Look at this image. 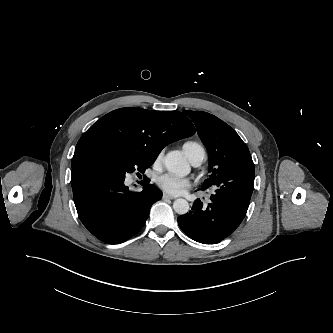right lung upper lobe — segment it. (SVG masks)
I'll return each instance as SVG.
<instances>
[{"instance_id": "cb5924a9", "label": "right lung upper lobe", "mask_w": 333, "mask_h": 333, "mask_svg": "<svg viewBox=\"0 0 333 333\" xmlns=\"http://www.w3.org/2000/svg\"><path fill=\"white\" fill-rule=\"evenodd\" d=\"M195 133L191 121L178 111H150L120 108L94 123L79 139L72 165L80 161L82 152L104 145L154 155L168 144Z\"/></svg>"}]
</instances>
